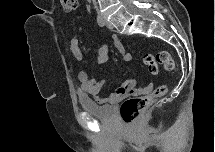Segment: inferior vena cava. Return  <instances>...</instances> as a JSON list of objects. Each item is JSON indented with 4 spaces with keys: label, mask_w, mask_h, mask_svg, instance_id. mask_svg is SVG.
Segmentation results:
<instances>
[{
    "label": "inferior vena cava",
    "mask_w": 215,
    "mask_h": 152,
    "mask_svg": "<svg viewBox=\"0 0 215 152\" xmlns=\"http://www.w3.org/2000/svg\"><path fill=\"white\" fill-rule=\"evenodd\" d=\"M93 2H94V5H96V1L94 0Z\"/></svg>",
    "instance_id": "obj_1"
}]
</instances>
